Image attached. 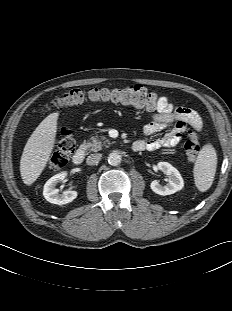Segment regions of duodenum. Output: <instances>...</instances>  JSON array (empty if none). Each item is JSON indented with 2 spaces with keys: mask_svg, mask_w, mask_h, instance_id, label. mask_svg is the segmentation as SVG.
I'll return each mask as SVG.
<instances>
[{
  "mask_svg": "<svg viewBox=\"0 0 232 311\" xmlns=\"http://www.w3.org/2000/svg\"><path fill=\"white\" fill-rule=\"evenodd\" d=\"M144 148V143L136 141L133 143V149L135 151H141ZM85 158V149L79 148L74 153L72 160L75 164H81L84 161Z\"/></svg>",
  "mask_w": 232,
  "mask_h": 311,
  "instance_id": "410a0bca",
  "label": "duodenum"
}]
</instances>
